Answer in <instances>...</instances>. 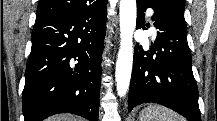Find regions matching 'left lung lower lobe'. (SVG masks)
<instances>
[{
    "label": "left lung lower lobe",
    "instance_id": "0a47b994",
    "mask_svg": "<svg viewBox=\"0 0 217 121\" xmlns=\"http://www.w3.org/2000/svg\"><path fill=\"white\" fill-rule=\"evenodd\" d=\"M147 8L154 9L153 21L159 31L150 51L135 46L128 110L153 102L178 112L189 121H201L187 27L157 1L137 0V29L145 28Z\"/></svg>",
    "mask_w": 217,
    "mask_h": 121
}]
</instances>
